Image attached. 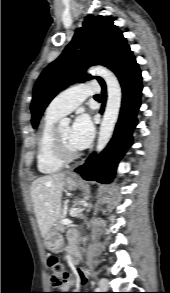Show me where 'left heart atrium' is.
Here are the masks:
<instances>
[{
  "label": "left heart atrium",
  "instance_id": "1",
  "mask_svg": "<svg viewBox=\"0 0 170 293\" xmlns=\"http://www.w3.org/2000/svg\"><path fill=\"white\" fill-rule=\"evenodd\" d=\"M93 136V126L88 116L81 115L70 128V142L76 149L88 146Z\"/></svg>",
  "mask_w": 170,
  "mask_h": 293
}]
</instances>
